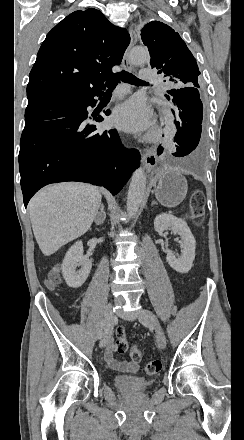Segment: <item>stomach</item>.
I'll list each match as a JSON object with an SVG mask.
<instances>
[{
    "mask_svg": "<svg viewBox=\"0 0 244 440\" xmlns=\"http://www.w3.org/2000/svg\"><path fill=\"white\" fill-rule=\"evenodd\" d=\"M156 178H158V186L154 192L162 206L175 208L185 200L188 184L185 176H182L179 170H166V168L158 170Z\"/></svg>",
    "mask_w": 244,
    "mask_h": 440,
    "instance_id": "1",
    "label": "stomach"
}]
</instances>
